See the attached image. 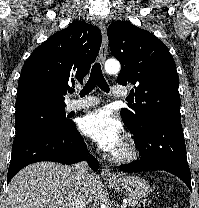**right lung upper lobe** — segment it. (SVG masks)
<instances>
[{"mask_svg": "<svg viewBox=\"0 0 199 208\" xmlns=\"http://www.w3.org/2000/svg\"><path fill=\"white\" fill-rule=\"evenodd\" d=\"M99 28L74 21L37 47L24 63L16 110L30 106L65 107L70 86L90 70L101 46Z\"/></svg>", "mask_w": 199, "mask_h": 208, "instance_id": "obj_1", "label": "right lung upper lobe"}]
</instances>
